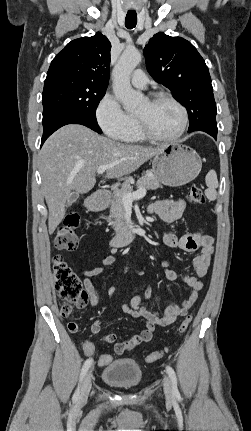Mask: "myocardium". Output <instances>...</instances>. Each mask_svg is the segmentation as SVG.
<instances>
[{
    "label": "myocardium",
    "instance_id": "myocardium-1",
    "mask_svg": "<svg viewBox=\"0 0 251 431\" xmlns=\"http://www.w3.org/2000/svg\"><path fill=\"white\" fill-rule=\"evenodd\" d=\"M160 101L171 102L180 110L181 115H182V121H181L180 128L178 129V131L176 133H174L173 135H170V136L158 135L150 129V127L148 126V124L146 123V121L143 118H141L139 116H136L135 118H136L138 128H139L141 134L146 139H149L152 141H157V142H172V141L179 139L185 133L187 126H188V123H189L188 111H187L186 107L178 99H176L175 97H173L172 95L167 94V93H156L148 99V102L151 104H155V103H158Z\"/></svg>",
    "mask_w": 251,
    "mask_h": 431
}]
</instances>
